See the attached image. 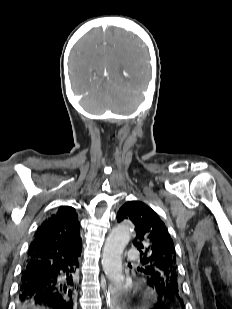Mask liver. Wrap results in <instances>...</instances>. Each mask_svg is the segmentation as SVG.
<instances>
[{"label":"liver","instance_id":"liver-1","mask_svg":"<svg viewBox=\"0 0 232 309\" xmlns=\"http://www.w3.org/2000/svg\"><path fill=\"white\" fill-rule=\"evenodd\" d=\"M35 309H48V308H35Z\"/></svg>","mask_w":232,"mask_h":309}]
</instances>
